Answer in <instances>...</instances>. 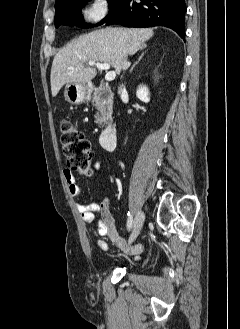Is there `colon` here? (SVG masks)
I'll list each match as a JSON object with an SVG mask.
<instances>
[{"label":"colon","instance_id":"1","mask_svg":"<svg viewBox=\"0 0 240 329\" xmlns=\"http://www.w3.org/2000/svg\"><path fill=\"white\" fill-rule=\"evenodd\" d=\"M61 142L67 164L82 175H91V144L84 134L72 123L64 122L62 124Z\"/></svg>","mask_w":240,"mask_h":329}]
</instances>
